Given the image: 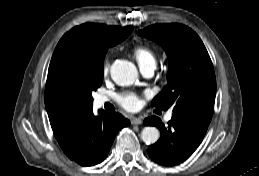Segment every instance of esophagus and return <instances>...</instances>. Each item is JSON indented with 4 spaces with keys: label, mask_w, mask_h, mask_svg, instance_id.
<instances>
[{
    "label": "esophagus",
    "mask_w": 259,
    "mask_h": 176,
    "mask_svg": "<svg viewBox=\"0 0 259 176\" xmlns=\"http://www.w3.org/2000/svg\"><path fill=\"white\" fill-rule=\"evenodd\" d=\"M131 124L132 125H140V124H142V119L140 117H133L131 119Z\"/></svg>",
    "instance_id": "1"
}]
</instances>
